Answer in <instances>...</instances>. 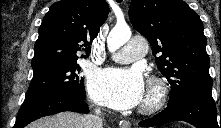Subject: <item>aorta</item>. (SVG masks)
<instances>
[{
  "mask_svg": "<svg viewBox=\"0 0 221 128\" xmlns=\"http://www.w3.org/2000/svg\"><path fill=\"white\" fill-rule=\"evenodd\" d=\"M131 29L128 25H116L107 37L108 50L113 52L123 46L131 38Z\"/></svg>",
  "mask_w": 221,
  "mask_h": 128,
  "instance_id": "obj_1",
  "label": "aorta"
}]
</instances>
